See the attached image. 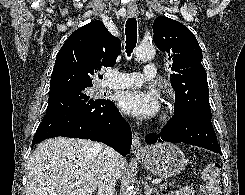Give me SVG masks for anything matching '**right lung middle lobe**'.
<instances>
[{
    "instance_id": "dd1d6c3e",
    "label": "right lung middle lobe",
    "mask_w": 245,
    "mask_h": 195,
    "mask_svg": "<svg viewBox=\"0 0 245 195\" xmlns=\"http://www.w3.org/2000/svg\"><path fill=\"white\" fill-rule=\"evenodd\" d=\"M88 87H75L50 93L46 113L79 104H91L95 100L87 95Z\"/></svg>"
}]
</instances>
